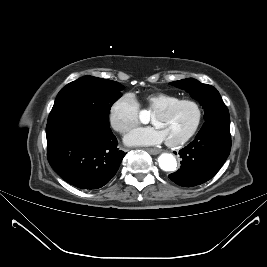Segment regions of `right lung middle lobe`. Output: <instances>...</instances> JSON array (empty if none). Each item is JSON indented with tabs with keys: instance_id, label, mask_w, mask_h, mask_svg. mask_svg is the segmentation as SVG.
Listing matches in <instances>:
<instances>
[{
	"instance_id": "dd1d6c3e",
	"label": "right lung middle lobe",
	"mask_w": 267,
	"mask_h": 267,
	"mask_svg": "<svg viewBox=\"0 0 267 267\" xmlns=\"http://www.w3.org/2000/svg\"><path fill=\"white\" fill-rule=\"evenodd\" d=\"M120 83L93 76L81 77L61 89L48 122L68 113H79L109 123L111 106L121 97Z\"/></svg>"
}]
</instances>
